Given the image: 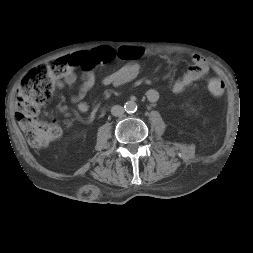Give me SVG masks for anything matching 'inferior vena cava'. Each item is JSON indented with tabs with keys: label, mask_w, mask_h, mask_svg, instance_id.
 Returning a JSON list of instances; mask_svg holds the SVG:
<instances>
[{
	"label": "inferior vena cava",
	"mask_w": 253,
	"mask_h": 253,
	"mask_svg": "<svg viewBox=\"0 0 253 253\" xmlns=\"http://www.w3.org/2000/svg\"><path fill=\"white\" fill-rule=\"evenodd\" d=\"M111 114L113 116H122L124 114V108L120 105H115L111 108Z\"/></svg>",
	"instance_id": "602c4592"
}]
</instances>
